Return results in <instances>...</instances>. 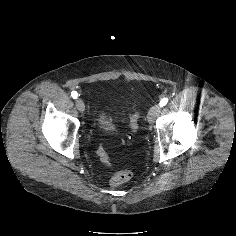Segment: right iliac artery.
I'll use <instances>...</instances> for the list:
<instances>
[{
    "mask_svg": "<svg viewBox=\"0 0 236 236\" xmlns=\"http://www.w3.org/2000/svg\"><path fill=\"white\" fill-rule=\"evenodd\" d=\"M71 96H72L74 99H76V98L78 97V93H77L76 91H73V92L71 93Z\"/></svg>",
    "mask_w": 236,
    "mask_h": 236,
    "instance_id": "1",
    "label": "right iliac artery"
}]
</instances>
